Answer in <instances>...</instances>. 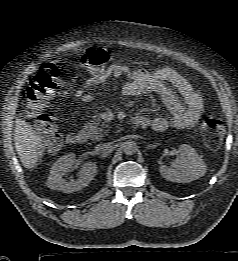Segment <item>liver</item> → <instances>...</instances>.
Instances as JSON below:
<instances>
[{
    "mask_svg": "<svg viewBox=\"0 0 238 261\" xmlns=\"http://www.w3.org/2000/svg\"><path fill=\"white\" fill-rule=\"evenodd\" d=\"M41 137L35 133L31 125L24 119L15 121L14 142L22 165L30 170L38 164L44 146Z\"/></svg>",
    "mask_w": 238,
    "mask_h": 261,
    "instance_id": "obj_1",
    "label": "liver"
}]
</instances>
